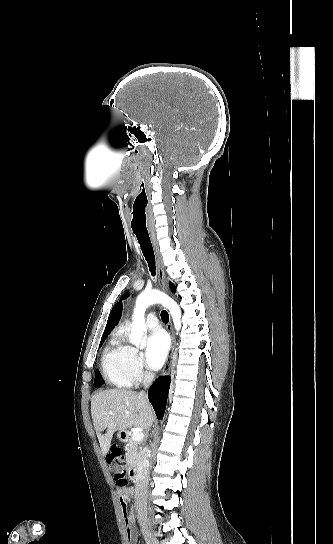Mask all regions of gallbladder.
<instances>
[{"label": "gallbladder", "instance_id": "1", "mask_svg": "<svg viewBox=\"0 0 333 544\" xmlns=\"http://www.w3.org/2000/svg\"><path fill=\"white\" fill-rule=\"evenodd\" d=\"M112 470H113V471H117L118 469L113 465V466H112Z\"/></svg>", "mask_w": 333, "mask_h": 544}]
</instances>
